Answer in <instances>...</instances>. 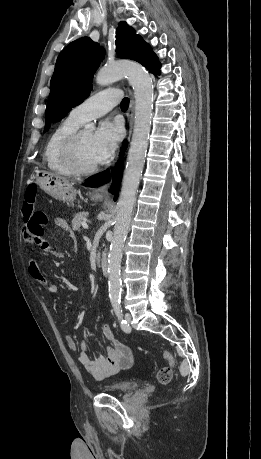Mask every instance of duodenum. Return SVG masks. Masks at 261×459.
<instances>
[{"label": "duodenum", "mask_w": 261, "mask_h": 459, "mask_svg": "<svg viewBox=\"0 0 261 459\" xmlns=\"http://www.w3.org/2000/svg\"><path fill=\"white\" fill-rule=\"evenodd\" d=\"M99 264H100V267L104 273V275H107L108 274V262H107V258L104 254L101 255L100 259H99Z\"/></svg>", "instance_id": "410a0bca"}]
</instances>
